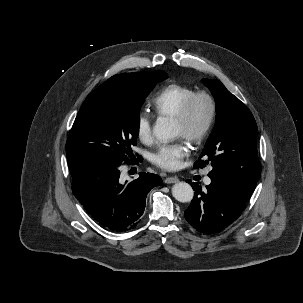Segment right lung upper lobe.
<instances>
[{
	"mask_svg": "<svg viewBox=\"0 0 303 303\" xmlns=\"http://www.w3.org/2000/svg\"><path fill=\"white\" fill-rule=\"evenodd\" d=\"M149 73L150 72H135V73L119 74L115 76H118L121 79H124L130 83L135 84L142 82Z\"/></svg>",
	"mask_w": 303,
	"mask_h": 303,
	"instance_id": "cb5924a9",
	"label": "right lung upper lobe"
}]
</instances>
